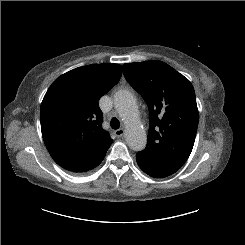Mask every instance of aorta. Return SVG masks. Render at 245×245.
<instances>
[{
  "instance_id": "aorta-1",
  "label": "aorta",
  "mask_w": 245,
  "mask_h": 245,
  "mask_svg": "<svg viewBox=\"0 0 245 245\" xmlns=\"http://www.w3.org/2000/svg\"><path fill=\"white\" fill-rule=\"evenodd\" d=\"M115 108L126 128V142L135 150H143L147 143V135L140 123L139 112L134 95L127 90H120L114 96Z\"/></svg>"
}]
</instances>
